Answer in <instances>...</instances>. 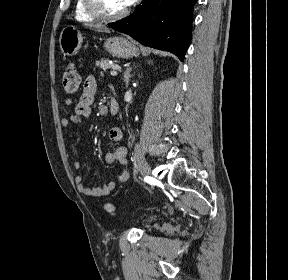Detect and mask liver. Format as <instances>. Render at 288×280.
I'll return each instance as SVG.
<instances>
[{
    "instance_id": "6515ba94",
    "label": "liver",
    "mask_w": 288,
    "mask_h": 280,
    "mask_svg": "<svg viewBox=\"0 0 288 280\" xmlns=\"http://www.w3.org/2000/svg\"><path fill=\"white\" fill-rule=\"evenodd\" d=\"M86 26H88V27H90V28H95V29H97L98 31H101V32H109V29L106 28V27L103 26V25L87 24Z\"/></svg>"
}]
</instances>
